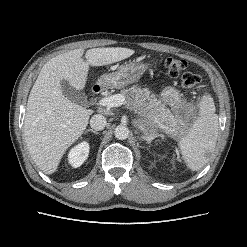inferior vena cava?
Masks as SVG:
<instances>
[{"label":"inferior vena cava","instance_id":"602c4592","mask_svg":"<svg viewBox=\"0 0 247 247\" xmlns=\"http://www.w3.org/2000/svg\"><path fill=\"white\" fill-rule=\"evenodd\" d=\"M106 118L101 114L93 115L90 119V126L92 129L100 131L106 126Z\"/></svg>","mask_w":247,"mask_h":247}]
</instances>
